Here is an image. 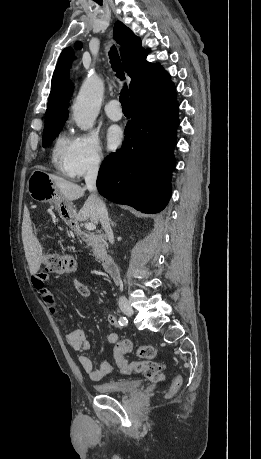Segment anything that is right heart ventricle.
I'll return each mask as SVG.
<instances>
[{"label": "right heart ventricle", "mask_w": 261, "mask_h": 459, "mask_svg": "<svg viewBox=\"0 0 261 459\" xmlns=\"http://www.w3.org/2000/svg\"><path fill=\"white\" fill-rule=\"evenodd\" d=\"M73 150V140L65 134H60L53 145L51 152V161L53 166L62 174L72 176L69 169V163Z\"/></svg>", "instance_id": "1"}]
</instances>
